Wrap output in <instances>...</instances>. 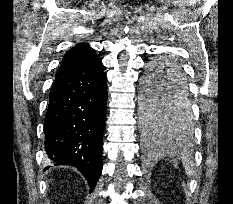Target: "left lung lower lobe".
<instances>
[{
	"mask_svg": "<svg viewBox=\"0 0 233 204\" xmlns=\"http://www.w3.org/2000/svg\"><path fill=\"white\" fill-rule=\"evenodd\" d=\"M185 77L182 75V73H178L177 71L173 70L171 68L170 70H166L161 73V77L158 79V82L165 85L169 86L171 89H177L179 86L180 82H185ZM144 130L147 133H153L155 131H178L176 129H171V128H164V127H157V126H146L144 124Z\"/></svg>",
	"mask_w": 233,
	"mask_h": 204,
	"instance_id": "0a47b994",
	"label": "left lung lower lobe"
}]
</instances>
